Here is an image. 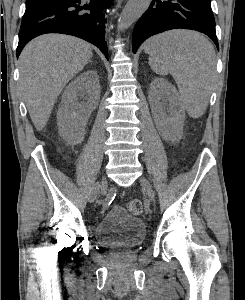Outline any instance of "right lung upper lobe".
<instances>
[{
  "instance_id": "cb5924a9",
  "label": "right lung upper lobe",
  "mask_w": 245,
  "mask_h": 300,
  "mask_svg": "<svg viewBox=\"0 0 245 300\" xmlns=\"http://www.w3.org/2000/svg\"><path fill=\"white\" fill-rule=\"evenodd\" d=\"M26 1H37V0H26Z\"/></svg>"
}]
</instances>
